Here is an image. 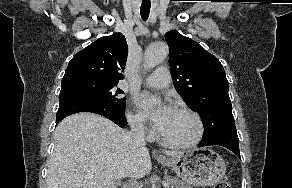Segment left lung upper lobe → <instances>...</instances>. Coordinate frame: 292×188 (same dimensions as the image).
Wrapping results in <instances>:
<instances>
[{
    "mask_svg": "<svg viewBox=\"0 0 292 188\" xmlns=\"http://www.w3.org/2000/svg\"><path fill=\"white\" fill-rule=\"evenodd\" d=\"M169 65L177 92L198 112L204 138L235 128L225 71L220 61L196 41L175 30L165 34Z\"/></svg>",
    "mask_w": 292,
    "mask_h": 188,
    "instance_id": "1",
    "label": "left lung upper lobe"
}]
</instances>
